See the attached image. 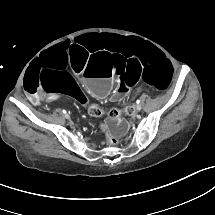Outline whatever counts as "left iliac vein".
I'll list each match as a JSON object with an SVG mask.
<instances>
[{
    "instance_id": "1",
    "label": "left iliac vein",
    "mask_w": 215,
    "mask_h": 215,
    "mask_svg": "<svg viewBox=\"0 0 215 215\" xmlns=\"http://www.w3.org/2000/svg\"><path fill=\"white\" fill-rule=\"evenodd\" d=\"M140 109H141V106H137V110L140 111Z\"/></svg>"
}]
</instances>
